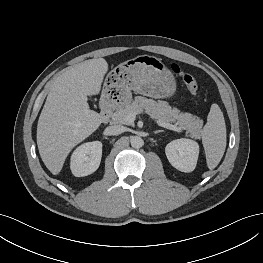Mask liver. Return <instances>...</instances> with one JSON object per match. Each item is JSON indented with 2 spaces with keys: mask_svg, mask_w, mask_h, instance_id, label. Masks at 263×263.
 I'll return each mask as SVG.
<instances>
[{
  "mask_svg": "<svg viewBox=\"0 0 263 263\" xmlns=\"http://www.w3.org/2000/svg\"><path fill=\"white\" fill-rule=\"evenodd\" d=\"M107 71L105 59H90L54 80L37 125L38 150L52 174H59L69 152L101 125V116L87 101L99 94Z\"/></svg>",
  "mask_w": 263,
  "mask_h": 263,
  "instance_id": "1",
  "label": "liver"
}]
</instances>
